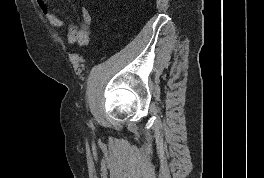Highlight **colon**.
I'll return each instance as SVG.
<instances>
[{"label": "colon", "mask_w": 264, "mask_h": 178, "mask_svg": "<svg viewBox=\"0 0 264 178\" xmlns=\"http://www.w3.org/2000/svg\"><path fill=\"white\" fill-rule=\"evenodd\" d=\"M91 13L85 6L81 7V22L79 28L69 32L68 41L70 44L84 46L89 42L91 33Z\"/></svg>", "instance_id": "1"}]
</instances>
